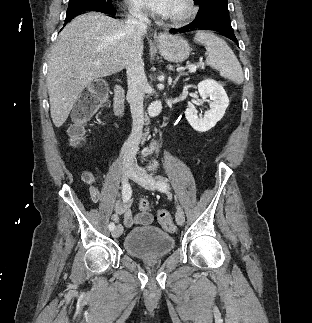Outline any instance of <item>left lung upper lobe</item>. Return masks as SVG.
Wrapping results in <instances>:
<instances>
[{
    "label": "left lung upper lobe",
    "mask_w": 312,
    "mask_h": 323,
    "mask_svg": "<svg viewBox=\"0 0 312 323\" xmlns=\"http://www.w3.org/2000/svg\"><path fill=\"white\" fill-rule=\"evenodd\" d=\"M199 5V11L192 22L198 24L217 18H230L227 0H194Z\"/></svg>",
    "instance_id": "5c2ea615"
}]
</instances>
